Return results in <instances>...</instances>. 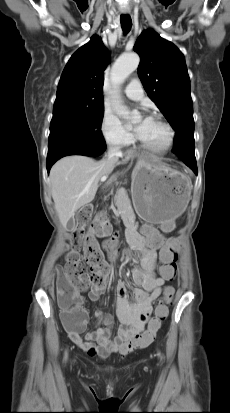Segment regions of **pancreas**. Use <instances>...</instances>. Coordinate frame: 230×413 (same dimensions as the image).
Listing matches in <instances>:
<instances>
[{
  "label": "pancreas",
  "instance_id": "1",
  "mask_svg": "<svg viewBox=\"0 0 230 413\" xmlns=\"http://www.w3.org/2000/svg\"><path fill=\"white\" fill-rule=\"evenodd\" d=\"M114 205L118 209V213L122 217L126 225L133 224L135 221V215L133 213L130 199L128 198L127 192L123 188H119L114 196ZM137 226V225H136Z\"/></svg>",
  "mask_w": 230,
  "mask_h": 413
}]
</instances>
